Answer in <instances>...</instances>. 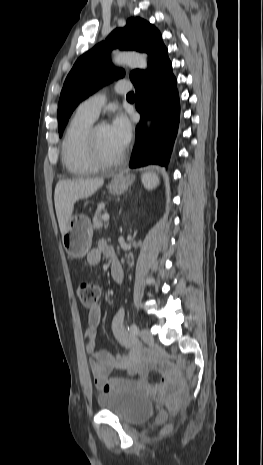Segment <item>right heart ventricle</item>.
Masks as SVG:
<instances>
[{"label":"right heart ventricle","mask_w":263,"mask_h":465,"mask_svg":"<svg viewBox=\"0 0 263 465\" xmlns=\"http://www.w3.org/2000/svg\"><path fill=\"white\" fill-rule=\"evenodd\" d=\"M95 119L77 111L69 122L61 144V158L67 171L75 176L95 173L98 168L90 161L85 135Z\"/></svg>","instance_id":"right-heart-ventricle-1"}]
</instances>
